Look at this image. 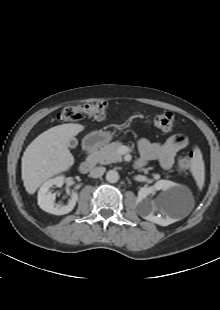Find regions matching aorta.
<instances>
[{
  "label": "aorta",
  "instance_id": "1",
  "mask_svg": "<svg viewBox=\"0 0 220 310\" xmlns=\"http://www.w3.org/2000/svg\"><path fill=\"white\" fill-rule=\"evenodd\" d=\"M106 180L110 183H116L119 180V174L116 170H109L106 174Z\"/></svg>",
  "mask_w": 220,
  "mask_h": 310
}]
</instances>
